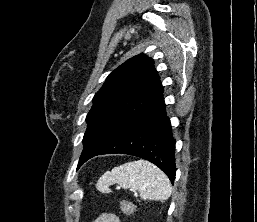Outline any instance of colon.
Segmentation results:
<instances>
[{
    "instance_id": "5ec220e1",
    "label": "colon",
    "mask_w": 257,
    "mask_h": 222,
    "mask_svg": "<svg viewBox=\"0 0 257 222\" xmlns=\"http://www.w3.org/2000/svg\"><path fill=\"white\" fill-rule=\"evenodd\" d=\"M121 208H122L123 213H125V214H130L131 213V210H130L127 203H123Z\"/></svg>"
}]
</instances>
